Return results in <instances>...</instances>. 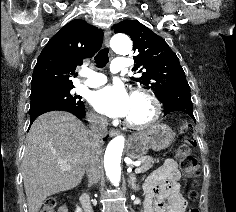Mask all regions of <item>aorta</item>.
<instances>
[{
	"mask_svg": "<svg viewBox=\"0 0 236 212\" xmlns=\"http://www.w3.org/2000/svg\"><path fill=\"white\" fill-rule=\"evenodd\" d=\"M112 49L119 54L129 53L132 49L130 38L122 33L116 34L111 39ZM125 138L119 135L113 138L105 151L104 167L106 176L114 186H118L121 179V156L124 149Z\"/></svg>",
	"mask_w": 236,
	"mask_h": 212,
	"instance_id": "obj_1",
	"label": "aorta"
}]
</instances>
